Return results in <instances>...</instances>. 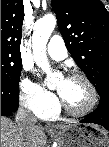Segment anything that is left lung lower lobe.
Listing matches in <instances>:
<instances>
[{
    "mask_svg": "<svg viewBox=\"0 0 109 147\" xmlns=\"http://www.w3.org/2000/svg\"><path fill=\"white\" fill-rule=\"evenodd\" d=\"M100 102L97 109L80 122L95 123L109 130V90L99 94Z\"/></svg>",
    "mask_w": 109,
    "mask_h": 147,
    "instance_id": "0a47b994",
    "label": "left lung lower lobe"
}]
</instances>
